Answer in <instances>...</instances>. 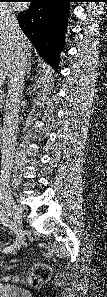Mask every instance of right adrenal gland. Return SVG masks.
Wrapping results in <instances>:
<instances>
[{"label":"right adrenal gland","mask_w":107,"mask_h":297,"mask_svg":"<svg viewBox=\"0 0 107 297\" xmlns=\"http://www.w3.org/2000/svg\"><path fill=\"white\" fill-rule=\"evenodd\" d=\"M29 75H30V68L27 71V79L29 78Z\"/></svg>","instance_id":"right-adrenal-gland-1"}]
</instances>
